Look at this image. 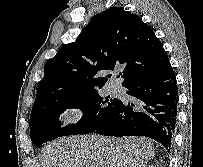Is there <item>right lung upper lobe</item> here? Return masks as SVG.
I'll return each instance as SVG.
<instances>
[{
    "mask_svg": "<svg viewBox=\"0 0 203 167\" xmlns=\"http://www.w3.org/2000/svg\"><path fill=\"white\" fill-rule=\"evenodd\" d=\"M168 63L162 44L139 16L121 7L109 8L47 61L32 110L56 98L98 91L107 81L101 72L120 68L126 86Z\"/></svg>",
    "mask_w": 203,
    "mask_h": 167,
    "instance_id": "obj_1",
    "label": "right lung upper lobe"
}]
</instances>
